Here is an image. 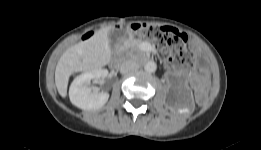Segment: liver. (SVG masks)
Segmentation results:
<instances>
[{
  "mask_svg": "<svg viewBox=\"0 0 261 150\" xmlns=\"http://www.w3.org/2000/svg\"><path fill=\"white\" fill-rule=\"evenodd\" d=\"M111 29L112 27H105L96 31L88 40L74 44L62 54L55 70V84L60 96L66 97L72 74L101 68L110 62L108 34Z\"/></svg>",
  "mask_w": 261,
  "mask_h": 150,
  "instance_id": "obj_1",
  "label": "liver"
}]
</instances>
